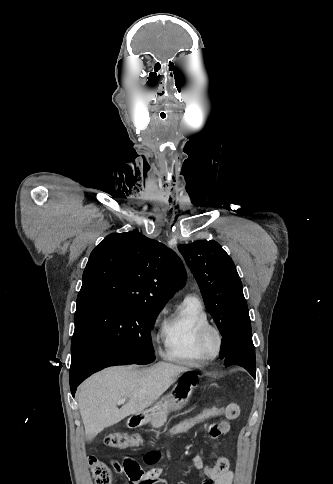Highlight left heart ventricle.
Here are the masks:
<instances>
[{"instance_id": "left-heart-ventricle-1", "label": "left heart ventricle", "mask_w": 333, "mask_h": 484, "mask_svg": "<svg viewBox=\"0 0 333 484\" xmlns=\"http://www.w3.org/2000/svg\"><path fill=\"white\" fill-rule=\"evenodd\" d=\"M207 349L210 353H214L216 349V340L213 336H210L207 341Z\"/></svg>"}]
</instances>
